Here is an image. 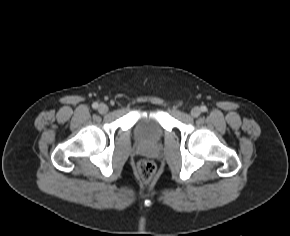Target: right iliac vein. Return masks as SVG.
I'll list each match as a JSON object with an SVG mask.
<instances>
[{
    "instance_id": "1",
    "label": "right iliac vein",
    "mask_w": 290,
    "mask_h": 236,
    "mask_svg": "<svg viewBox=\"0 0 290 236\" xmlns=\"http://www.w3.org/2000/svg\"><path fill=\"white\" fill-rule=\"evenodd\" d=\"M98 111L99 113L101 114H105L107 111H108V106L104 103H101L99 106H98Z\"/></svg>"
}]
</instances>
